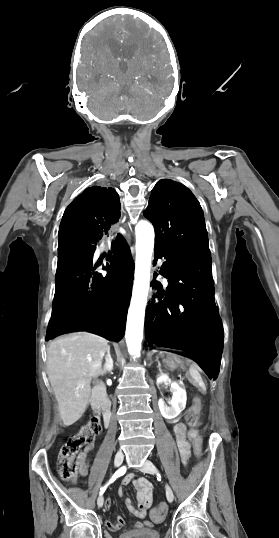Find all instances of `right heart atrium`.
I'll list each match as a JSON object with an SVG mask.
<instances>
[{
    "instance_id": "right-heart-atrium-1",
    "label": "right heart atrium",
    "mask_w": 279,
    "mask_h": 538,
    "mask_svg": "<svg viewBox=\"0 0 279 538\" xmlns=\"http://www.w3.org/2000/svg\"><path fill=\"white\" fill-rule=\"evenodd\" d=\"M142 240H143L144 242H146V241H147V237L144 236V237L142 238Z\"/></svg>"
}]
</instances>
